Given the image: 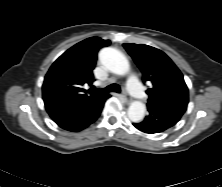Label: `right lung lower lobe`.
I'll return each instance as SVG.
<instances>
[{"label":"right lung lower lobe","mask_w":222,"mask_h":187,"mask_svg":"<svg viewBox=\"0 0 222 187\" xmlns=\"http://www.w3.org/2000/svg\"><path fill=\"white\" fill-rule=\"evenodd\" d=\"M109 97L87 104H76L52 95L43 97V100L48 114L59 127L79 132L99 117Z\"/></svg>","instance_id":"1"}]
</instances>
